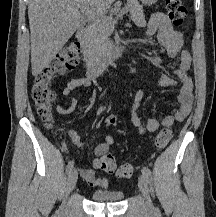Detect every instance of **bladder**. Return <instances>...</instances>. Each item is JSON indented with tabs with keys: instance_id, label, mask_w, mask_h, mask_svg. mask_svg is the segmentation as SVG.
Instances as JSON below:
<instances>
[{
	"instance_id": "obj_1",
	"label": "bladder",
	"mask_w": 216,
	"mask_h": 217,
	"mask_svg": "<svg viewBox=\"0 0 216 217\" xmlns=\"http://www.w3.org/2000/svg\"><path fill=\"white\" fill-rule=\"evenodd\" d=\"M124 193L112 190H98L91 193V198L94 202L99 203H116L123 199Z\"/></svg>"
}]
</instances>
